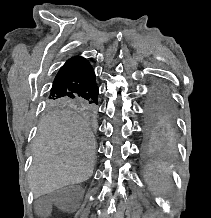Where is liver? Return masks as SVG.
I'll use <instances>...</instances> for the list:
<instances>
[{
    "mask_svg": "<svg viewBox=\"0 0 211 218\" xmlns=\"http://www.w3.org/2000/svg\"><path fill=\"white\" fill-rule=\"evenodd\" d=\"M96 142L88 126L71 110L51 112L34 140V162L28 176L35 198L80 184L93 174Z\"/></svg>",
    "mask_w": 211,
    "mask_h": 218,
    "instance_id": "1",
    "label": "liver"
}]
</instances>
